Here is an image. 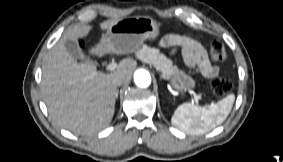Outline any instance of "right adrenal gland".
I'll return each instance as SVG.
<instances>
[{
	"label": "right adrenal gland",
	"mask_w": 283,
	"mask_h": 162,
	"mask_svg": "<svg viewBox=\"0 0 283 162\" xmlns=\"http://www.w3.org/2000/svg\"><path fill=\"white\" fill-rule=\"evenodd\" d=\"M118 93H119V91H118V89H117V94H116V98L118 97Z\"/></svg>",
	"instance_id": "2a0ac1e0"
}]
</instances>
